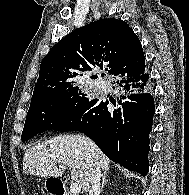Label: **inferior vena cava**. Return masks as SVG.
Segmentation results:
<instances>
[{"label":"inferior vena cava","instance_id":"inferior-vena-cava-1","mask_svg":"<svg viewBox=\"0 0 189 195\" xmlns=\"http://www.w3.org/2000/svg\"><path fill=\"white\" fill-rule=\"evenodd\" d=\"M100 177L101 170L97 165L92 171L90 182H89V195H100Z\"/></svg>","mask_w":189,"mask_h":195}]
</instances>
